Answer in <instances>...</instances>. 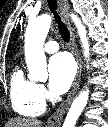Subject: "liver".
<instances>
[{
	"label": "liver",
	"instance_id": "1",
	"mask_svg": "<svg viewBox=\"0 0 108 127\" xmlns=\"http://www.w3.org/2000/svg\"><path fill=\"white\" fill-rule=\"evenodd\" d=\"M5 127H42V122L34 118H12Z\"/></svg>",
	"mask_w": 108,
	"mask_h": 127
}]
</instances>
